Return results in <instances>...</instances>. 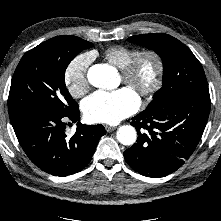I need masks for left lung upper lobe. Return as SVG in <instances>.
Wrapping results in <instances>:
<instances>
[{"mask_svg": "<svg viewBox=\"0 0 221 221\" xmlns=\"http://www.w3.org/2000/svg\"><path fill=\"white\" fill-rule=\"evenodd\" d=\"M128 41L153 50L163 62V86L144 111H156L164 103L185 96L210 100L202 65L182 42L162 33L135 35Z\"/></svg>", "mask_w": 221, "mask_h": 221, "instance_id": "1", "label": "left lung upper lobe"}]
</instances>
